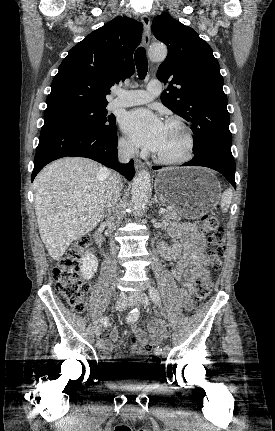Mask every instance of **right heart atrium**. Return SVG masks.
<instances>
[{"label": "right heart atrium", "mask_w": 275, "mask_h": 431, "mask_svg": "<svg viewBox=\"0 0 275 431\" xmlns=\"http://www.w3.org/2000/svg\"><path fill=\"white\" fill-rule=\"evenodd\" d=\"M119 149L123 154L126 155H131L134 153V147L131 144V142L125 138V137H121L119 139Z\"/></svg>", "instance_id": "1"}]
</instances>
